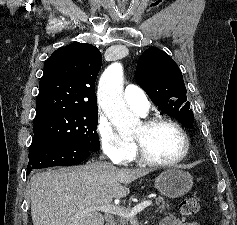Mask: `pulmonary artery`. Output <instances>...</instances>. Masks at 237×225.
<instances>
[{
  "label": "pulmonary artery",
  "mask_w": 237,
  "mask_h": 225,
  "mask_svg": "<svg viewBox=\"0 0 237 225\" xmlns=\"http://www.w3.org/2000/svg\"><path fill=\"white\" fill-rule=\"evenodd\" d=\"M124 100L127 106L135 112L145 115L149 109L146 93L137 85L128 84L124 90Z\"/></svg>",
  "instance_id": "obj_1"
}]
</instances>
